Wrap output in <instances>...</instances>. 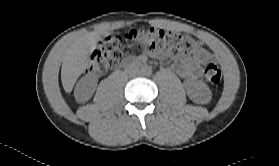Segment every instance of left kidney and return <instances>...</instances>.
I'll use <instances>...</instances> for the list:
<instances>
[{"mask_svg":"<svg viewBox=\"0 0 279 166\" xmlns=\"http://www.w3.org/2000/svg\"><path fill=\"white\" fill-rule=\"evenodd\" d=\"M185 89L188 97L195 103H206L211 99V90L201 80H186Z\"/></svg>","mask_w":279,"mask_h":166,"instance_id":"obj_1","label":"left kidney"}]
</instances>
